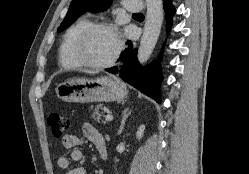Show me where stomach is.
Masks as SVG:
<instances>
[{
	"label": "stomach",
	"instance_id": "stomach-1",
	"mask_svg": "<svg viewBox=\"0 0 249 174\" xmlns=\"http://www.w3.org/2000/svg\"><path fill=\"white\" fill-rule=\"evenodd\" d=\"M55 90L60 99L77 103L123 101L128 94L125 84L112 76L69 79Z\"/></svg>",
	"mask_w": 249,
	"mask_h": 174
}]
</instances>
